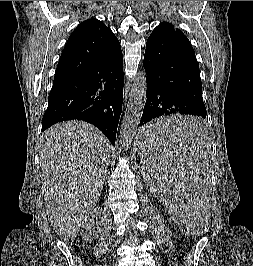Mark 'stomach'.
I'll list each match as a JSON object with an SVG mask.
<instances>
[{
    "instance_id": "stomach-1",
    "label": "stomach",
    "mask_w": 253,
    "mask_h": 266,
    "mask_svg": "<svg viewBox=\"0 0 253 266\" xmlns=\"http://www.w3.org/2000/svg\"><path fill=\"white\" fill-rule=\"evenodd\" d=\"M139 138H144V132L140 131L138 135V143H139Z\"/></svg>"
}]
</instances>
